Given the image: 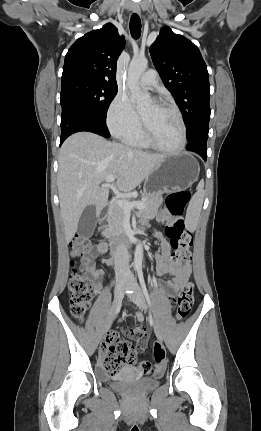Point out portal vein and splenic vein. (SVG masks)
<instances>
[{
	"instance_id": "portal-vein-and-splenic-vein-1",
	"label": "portal vein and splenic vein",
	"mask_w": 261,
	"mask_h": 431,
	"mask_svg": "<svg viewBox=\"0 0 261 431\" xmlns=\"http://www.w3.org/2000/svg\"><path fill=\"white\" fill-rule=\"evenodd\" d=\"M116 179V176L109 175L105 178L106 183H112ZM115 203L118 204L120 207H122L126 212L131 211L133 208L142 209L144 208L145 204L143 202H129L125 199H115Z\"/></svg>"
}]
</instances>
